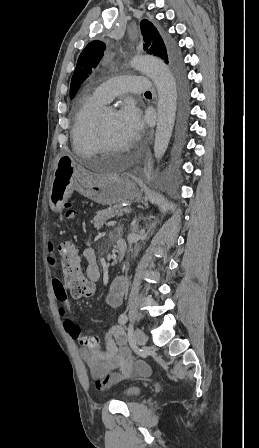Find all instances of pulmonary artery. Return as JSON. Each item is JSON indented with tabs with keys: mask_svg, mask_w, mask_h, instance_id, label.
<instances>
[{
	"mask_svg": "<svg viewBox=\"0 0 259 448\" xmlns=\"http://www.w3.org/2000/svg\"><path fill=\"white\" fill-rule=\"evenodd\" d=\"M134 76H117L109 82L103 83L96 88V95L101 99L104 103L110 102L115 96L120 94L125 90L123 87L112 85L114 81H125V80H133Z\"/></svg>",
	"mask_w": 259,
	"mask_h": 448,
	"instance_id": "e3ab8cb5",
	"label": "pulmonary artery"
}]
</instances>
